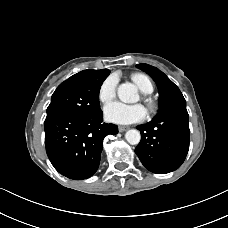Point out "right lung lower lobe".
<instances>
[{"label": "right lung lower lobe", "instance_id": "98d812e1", "mask_svg": "<svg viewBox=\"0 0 228 228\" xmlns=\"http://www.w3.org/2000/svg\"><path fill=\"white\" fill-rule=\"evenodd\" d=\"M95 115L55 114L44 122L45 146L54 168L70 179H86L98 169L103 139L118 127Z\"/></svg>", "mask_w": 228, "mask_h": 228}]
</instances>
